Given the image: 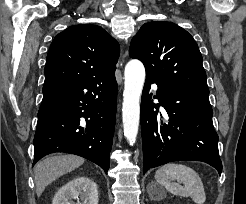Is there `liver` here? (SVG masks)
I'll use <instances>...</instances> for the list:
<instances>
[{
    "label": "liver",
    "mask_w": 246,
    "mask_h": 204,
    "mask_svg": "<svg viewBox=\"0 0 246 204\" xmlns=\"http://www.w3.org/2000/svg\"><path fill=\"white\" fill-rule=\"evenodd\" d=\"M84 163L77 155H55L47 157L35 166L36 194L40 197L44 189L58 177L68 173Z\"/></svg>",
    "instance_id": "1"
}]
</instances>
